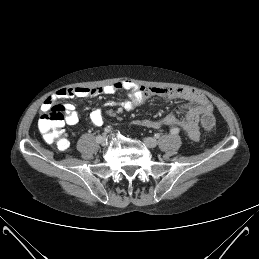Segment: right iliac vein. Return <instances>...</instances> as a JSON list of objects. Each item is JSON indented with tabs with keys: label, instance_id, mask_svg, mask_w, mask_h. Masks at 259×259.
Listing matches in <instances>:
<instances>
[{
	"label": "right iliac vein",
	"instance_id": "63e3f726",
	"mask_svg": "<svg viewBox=\"0 0 259 259\" xmlns=\"http://www.w3.org/2000/svg\"><path fill=\"white\" fill-rule=\"evenodd\" d=\"M101 138H100V140H98L97 142L99 143V144H101V145H106L107 144V137H106V135H103V136H100Z\"/></svg>",
	"mask_w": 259,
	"mask_h": 259
}]
</instances>
